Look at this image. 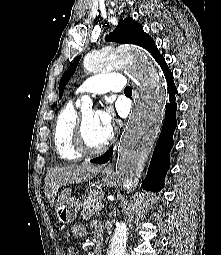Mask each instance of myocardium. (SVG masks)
I'll return each mask as SVG.
<instances>
[{
  "instance_id": "1",
  "label": "myocardium",
  "mask_w": 221,
  "mask_h": 255,
  "mask_svg": "<svg viewBox=\"0 0 221 255\" xmlns=\"http://www.w3.org/2000/svg\"><path fill=\"white\" fill-rule=\"evenodd\" d=\"M114 139V133L111 130L110 135L106 142L97 148H92L88 145L84 132V116H80L77 121L76 130H75V145L77 150L86 156L98 155L103 153L108 149Z\"/></svg>"
}]
</instances>
